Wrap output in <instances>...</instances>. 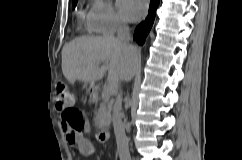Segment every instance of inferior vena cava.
I'll return each mask as SVG.
<instances>
[{"label": "inferior vena cava", "instance_id": "obj_1", "mask_svg": "<svg viewBox=\"0 0 242 160\" xmlns=\"http://www.w3.org/2000/svg\"><path fill=\"white\" fill-rule=\"evenodd\" d=\"M117 42L125 47L123 50L121 63L118 64V81H131L134 73H140L137 68L138 63V47L130 44V29L128 25L121 23L117 29ZM122 91L117 89L116 100L113 105V127L117 142V150L120 160H131L128 146V139L125 134L124 124L122 122Z\"/></svg>", "mask_w": 242, "mask_h": 160}]
</instances>
